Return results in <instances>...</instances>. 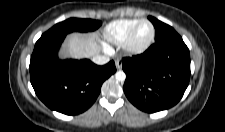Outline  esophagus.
I'll return each mask as SVG.
<instances>
[{"label":"esophagus","instance_id":"obj_1","mask_svg":"<svg viewBox=\"0 0 225 132\" xmlns=\"http://www.w3.org/2000/svg\"><path fill=\"white\" fill-rule=\"evenodd\" d=\"M115 65L117 69H121L122 68V61L120 59H117L115 61Z\"/></svg>","mask_w":225,"mask_h":132}]
</instances>
